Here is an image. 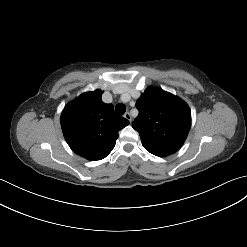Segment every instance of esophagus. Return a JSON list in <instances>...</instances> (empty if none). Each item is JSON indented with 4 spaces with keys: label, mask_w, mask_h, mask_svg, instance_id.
Wrapping results in <instances>:
<instances>
[{
    "label": "esophagus",
    "mask_w": 247,
    "mask_h": 247,
    "mask_svg": "<svg viewBox=\"0 0 247 247\" xmlns=\"http://www.w3.org/2000/svg\"><path fill=\"white\" fill-rule=\"evenodd\" d=\"M124 117H125L127 120H129V122H131L132 118H131V115H130L129 112H126V113L124 114Z\"/></svg>",
    "instance_id": "1"
}]
</instances>
